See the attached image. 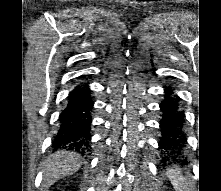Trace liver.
I'll return each instance as SVG.
<instances>
[{"label":"liver","mask_w":221,"mask_h":191,"mask_svg":"<svg viewBox=\"0 0 221 191\" xmlns=\"http://www.w3.org/2000/svg\"><path fill=\"white\" fill-rule=\"evenodd\" d=\"M80 166V156L75 152H57L44 168V186H50L58 179L72 175Z\"/></svg>","instance_id":"obj_1"}]
</instances>
